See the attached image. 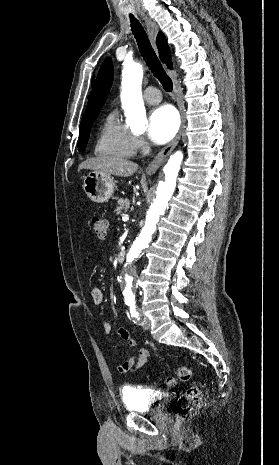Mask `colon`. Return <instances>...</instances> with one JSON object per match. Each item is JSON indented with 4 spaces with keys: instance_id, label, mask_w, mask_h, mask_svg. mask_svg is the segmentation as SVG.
Listing matches in <instances>:
<instances>
[{
    "instance_id": "colon-1",
    "label": "colon",
    "mask_w": 279,
    "mask_h": 465,
    "mask_svg": "<svg viewBox=\"0 0 279 465\" xmlns=\"http://www.w3.org/2000/svg\"><path fill=\"white\" fill-rule=\"evenodd\" d=\"M92 226L98 238H105L107 234V222L103 218L94 216L92 218ZM176 373L178 379L183 382L191 380L193 375L192 370L185 366L178 367ZM165 384L168 387H174L177 384V380L174 377H167L165 379ZM200 403L201 398L199 389L196 387L188 388L176 402L175 426L180 428L183 421L200 406Z\"/></svg>"
}]
</instances>
